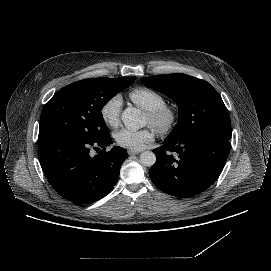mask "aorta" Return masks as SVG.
Here are the masks:
<instances>
[{
  "mask_svg": "<svg viewBox=\"0 0 271 271\" xmlns=\"http://www.w3.org/2000/svg\"><path fill=\"white\" fill-rule=\"evenodd\" d=\"M121 120L129 130L143 128L146 125L147 117L134 106L125 108L121 113ZM156 162V155L151 151H144L140 155V163L145 167H152Z\"/></svg>",
  "mask_w": 271,
  "mask_h": 271,
  "instance_id": "1",
  "label": "aorta"
}]
</instances>
